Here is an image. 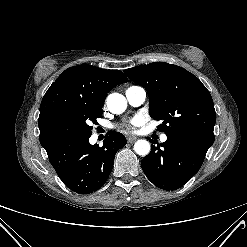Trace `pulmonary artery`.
<instances>
[{
	"instance_id": "obj_1",
	"label": "pulmonary artery",
	"mask_w": 247,
	"mask_h": 247,
	"mask_svg": "<svg viewBox=\"0 0 247 247\" xmlns=\"http://www.w3.org/2000/svg\"><path fill=\"white\" fill-rule=\"evenodd\" d=\"M125 96L129 104L136 107L144 103L147 97V93L143 87L134 85L130 86L126 90ZM160 140L165 142L167 140V136L165 134L161 135Z\"/></svg>"
}]
</instances>
